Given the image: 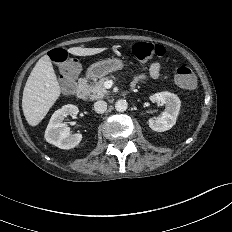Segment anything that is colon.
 <instances>
[{
    "instance_id": "1",
    "label": "colon",
    "mask_w": 232,
    "mask_h": 232,
    "mask_svg": "<svg viewBox=\"0 0 232 232\" xmlns=\"http://www.w3.org/2000/svg\"><path fill=\"white\" fill-rule=\"evenodd\" d=\"M132 52L136 59L144 62L162 57L165 54V48L155 43L138 42L132 46ZM49 56L52 61L62 64V87L66 91H71L78 71L76 62L69 59L67 51L62 48L53 49ZM174 80L180 88L186 90L195 88L197 82L195 74L188 66L178 67Z\"/></svg>"
}]
</instances>
